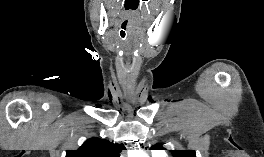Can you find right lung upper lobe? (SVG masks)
Listing matches in <instances>:
<instances>
[{
	"label": "right lung upper lobe",
	"instance_id": "1",
	"mask_svg": "<svg viewBox=\"0 0 264 157\" xmlns=\"http://www.w3.org/2000/svg\"><path fill=\"white\" fill-rule=\"evenodd\" d=\"M124 149L123 144L91 138L78 150H67L66 157H119V153Z\"/></svg>",
	"mask_w": 264,
	"mask_h": 157
}]
</instances>
